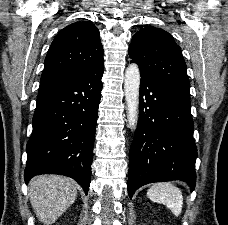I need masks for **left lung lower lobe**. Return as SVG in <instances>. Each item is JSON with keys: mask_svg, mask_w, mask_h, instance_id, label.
Here are the masks:
<instances>
[{"mask_svg": "<svg viewBox=\"0 0 228 225\" xmlns=\"http://www.w3.org/2000/svg\"><path fill=\"white\" fill-rule=\"evenodd\" d=\"M138 126L129 152L128 193L141 186L182 180L196 183L189 90L141 76Z\"/></svg>", "mask_w": 228, "mask_h": 225, "instance_id": "1", "label": "left lung lower lobe"}]
</instances>
